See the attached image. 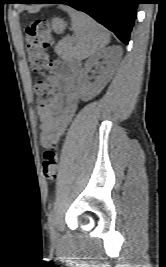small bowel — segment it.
Wrapping results in <instances>:
<instances>
[{
  "label": "small bowel",
  "instance_id": "c3829d8e",
  "mask_svg": "<svg viewBox=\"0 0 166 267\" xmlns=\"http://www.w3.org/2000/svg\"><path fill=\"white\" fill-rule=\"evenodd\" d=\"M79 73L77 66L55 61L53 74L58 94L55 99L38 109L40 119V142L47 147L65 132L70 124L79 102L75 79Z\"/></svg>",
  "mask_w": 166,
  "mask_h": 267
}]
</instances>
